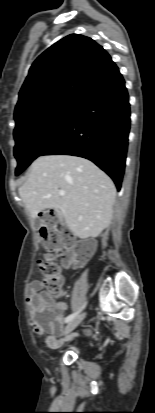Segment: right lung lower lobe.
Masks as SVG:
<instances>
[{
  "label": "right lung lower lobe",
  "instance_id": "obj_1",
  "mask_svg": "<svg viewBox=\"0 0 155 413\" xmlns=\"http://www.w3.org/2000/svg\"><path fill=\"white\" fill-rule=\"evenodd\" d=\"M129 130V96L118 72L77 103L62 134L41 155L87 158L120 190Z\"/></svg>",
  "mask_w": 155,
  "mask_h": 413
}]
</instances>
